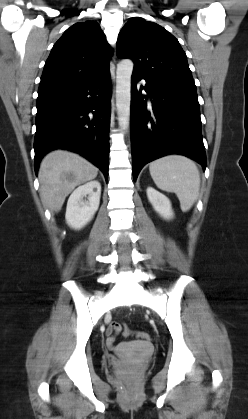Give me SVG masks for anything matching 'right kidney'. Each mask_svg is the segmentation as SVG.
Listing matches in <instances>:
<instances>
[{
  "label": "right kidney",
  "mask_w": 248,
  "mask_h": 419,
  "mask_svg": "<svg viewBox=\"0 0 248 419\" xmlns=\"http://www.w3.org/2000/svg\"><path fill=\"white\" fill-rule=\"evenodd\" d=\"M100 195L101 185L96 180L74 190L67 202L65 219L68 226L79 230L90 222L98 210ZM84 197H87V201Z\"/></svg>",
  "instance_id": "ca27d5eb"
}]
</instances>
